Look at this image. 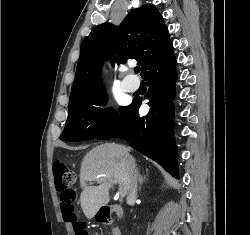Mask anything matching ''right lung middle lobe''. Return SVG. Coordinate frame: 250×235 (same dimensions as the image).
Here are the masks:
<instances>
[{
	"label": "right lung middle lobe",
	"instance_id": "right-lung-middle-lobe-1",
	"mask_svg": "<svg viewBox=\"0 0 250 235\" xmlns=\"http://www.w3.org/2000/svg\"><path fill=\"white\" fill-rule=\"evenodd\" d=\"M107 103L104 87L88 92L69 102L68 118L60 136L62 141H84L97 138L118 117L112 108L103 109ZM125 107L119 109L122 112Z\"/></svg>",
	"mask_w": 250,
	"mask_h": 235
}]
</instances>
